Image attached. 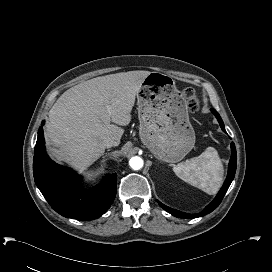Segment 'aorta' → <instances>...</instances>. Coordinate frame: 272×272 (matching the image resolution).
Here are the masks:
<instances>
[{"label": "aorta", "mask_w": 272, "mask_h": 272, "mask_svg": "<svg viewBox=\"0 0 272 272\" xmlns=\"http://www.w3.org/2000/svg\"><path fill=\"white\" fill-rule=\"evenodd\" d=\"M144 161L139 156H134L129 160V165L133 170H140L143 167Z\"/></svg>", "instance_id": "aorta-1"}]
</instances>
